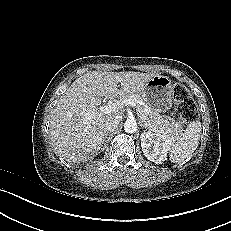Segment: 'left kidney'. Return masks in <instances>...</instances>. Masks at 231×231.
<instances>
[{"mask_svg": "<svg viewBox=\"0 0 231 231\" xmlns=\"http://www.w3.org/2000/svg\"><path fill=\"white\" fill-rule=\"evenodd\" d=\"M141 147L148 160L160 164L166 160L170 139L166 135L147 131L141 134Z\"/></svg>", "mask_w": 231, "mask_h": 231, "instance_id": "1", "label": "left kidney"}]
</instances>
